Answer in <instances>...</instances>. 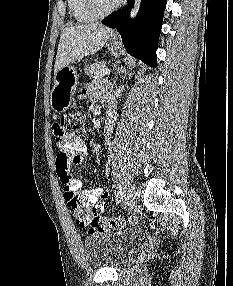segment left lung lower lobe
I'll return each mask as SVG.
<instances>
[{
  "label": "left lung lower lobe",
  "instance_id": "0a47b994",
  "mask_svg": "<svg viewBox=\"0 0 233 286\" xmlns=\"http://www.w3.org/2000/svg\"><path fill=\"white\" fill-rule=\"evenodd\" d=\"M134 1L129 0L124 9L113 12L102 23L117 28L129 54L157 67L156 49L166 0H142L137 17L130 20Z\"/></svg>",
  "mask_w": 233,
  "mask_h": 286
}]
</instances>
